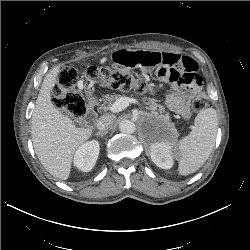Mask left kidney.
I'll return each instance as SVG.
<instances>
[{"instance_id": "left-kidney-1", "label": "left kidney", "mask_w": 250, "mask_h": 250, "mask_svg": "<svg viewBox=\"0 0 250 250\" xmlns=\"http://www.w3.org/2000/svg\"><path fill=\"white\" fill-rule=\"evenodd\" d=\"M174 145L168 141L151 144L149 153L152 161L160 168L170 169L173 166Z\"/></svg>"}]
</instances>
